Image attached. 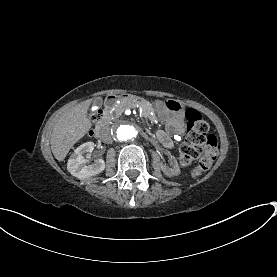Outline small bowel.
Masks as SVG:
<instances>
[{"mask_svg": "<svg viewBox=\"0 0 277 277\" xmlns=\"http://www.w3.org/2000/svg\"><path fill=\"white\" fill-rule=\"evenodd\" d=\"M183 133V129L182 128H178L177 129V134L178 136L181 135ZM158 137L161 140V142L163 143L164 146L170 148L173 146V140L172 138L164 131H159L158 132Z\"/></svg>", "mask_w": 277, "mask_h": 277, "instance_id": "1", "label": "small bowel"}]
</instances>
